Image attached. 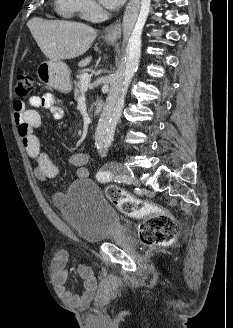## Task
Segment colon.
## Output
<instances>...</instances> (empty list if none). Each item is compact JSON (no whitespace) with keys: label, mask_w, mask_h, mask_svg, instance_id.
<instances>
[{"label":"colon","mask_w":233,"mask_h":328,"mask_svg":"<svg viewBox=\"0 0 233 328\" xmlns=\"http://www.w3.org/2000/svg\"><path fill=\"white\" fill-rule=\"evenodd\" d=\"M33 88V76L26 71H19L15 76L17 96H28ZM106 195L123 214L144 219L139 235L146 245H166L177 236L178 225L175 218L158 206L134 197L117 186H109Z\"/></svg>","instance_id":"5ec220e1"}]
</instances>
